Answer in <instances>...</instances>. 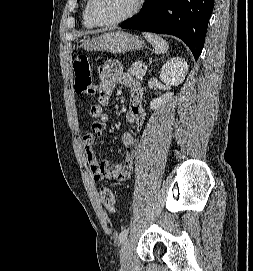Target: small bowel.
<instances>
[{
    "label": "small bowel",
    "instance_id": "1",
    "mask_svg": "<svg viewBox=\"0 0 253 271\" xmlns=\"http://www.w3.org/2000/svg\"><path fill=\"white\" fill-rule=\"evenodd\" d=\"M98 103L90 108L93 123L90 130L82 136V146L87 162L95 181L127 180L136 160L135 148L138 144L137 137L131 132L122 135V143L126 148L124 162L110 164L107 161H99L94 153V144L104 131V126L109 120L110 113L106 106L110 103L115 85L121 84L130 89V108L126 113V120L138 130L145 123V112L142 107L143 89L140 83L130 74L123 71L119 62L109 60L99 67Z\"/></svg>",
    "mask_w": 253,
    "mask_h": 271
}]
</instances>
